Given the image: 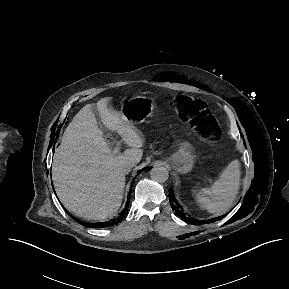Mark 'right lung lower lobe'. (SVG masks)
Wrapping results in <instances>:
<instances>
[{"instance_id": "obj_1", "label": "right lung lower lobe", "mask_w": 289, "mask_h": 289, "mask_svg": "<svg viewBox=\"0 0 289 289\" xmlns=\"http://www.w3.org/2000/svg\"><path fill=\"white\" fill-rule=\"evenodd\" d=\"M145 169V168H144ZM144 169H142L141 171H143ZM148 169V168H147ZM140 171V172H141ZM139 172V173H140ZM138 173V174H139ZM129 198H130V195L128 197V200H127V205L125 206L124 210L122 211V213L120 214V216L118 218H116L115 220L113 221H109V222H101V223H84L78 219H76L74 216H72L71 214H69L75 221H77L78 223H80L81 225L85 226V227H92V228H102V227H108V226H113L115 224H118L121 222V219L124 217V213L126 211V209L128 208V205H129Z\"/></svg>"}]
</instances>
